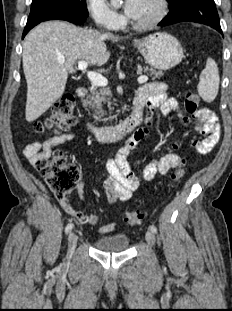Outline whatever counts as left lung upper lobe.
Instances as JSON below:
<instances>
[{
    "mask_svg": "<svg viewBox=\"0 0 232 311\" xmlns=\"http://www.w3.org/2000/svg\"><path fill=\"white\" fill-rule=\"evenodd\" d=\"M167 1L171 5L175 0H167Z\"/></svg>",
    "mask_w": 232,
    "mask_h": 311,
    "instance_id": "5c2ea615",
    "label": "left lung upper lobe"
}]
</instances>
